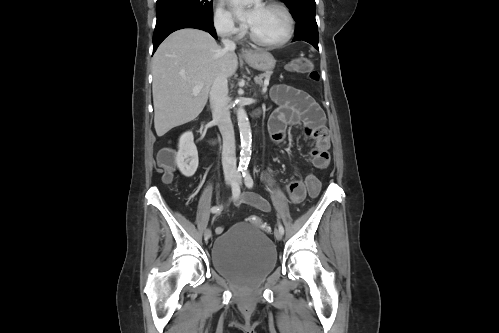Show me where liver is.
<instances>
[{
	"instance_id": "1",
	"label": "liver",
	"mask_w": 499,
	"mask_h": 333,
	"mask_svg": "<svg viewBox=\"0 0 499 333\" xmlns=\"http://www.w3.org/2000/svg\"><path fill=\"white\" fill-rule=\"evenodd\" d=\"M237 68L234 50H225L205 31L185 28L169 35L152 59L157 136L196 119L207 103L217 74L231 77ZM198 83L203 86L194 94Z\"/></svg>"
}]
</instances>
